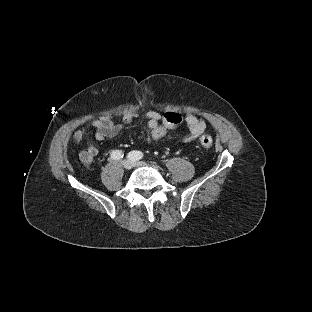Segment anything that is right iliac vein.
Wrapping results in <instances>:
<instances>
[{"label":"right iliac vein","instance_id":"obj_1","mask_svg":"<svg viewBox=\"0 0 312 312\" xmlns=\"http://www.w3.org/2000/svg\"><path fill=\"white\" fill-rule=\"evenodd\" d=\"M122 165L125 169L130 170L133 167V162L131 160H125Z\"/></svg>","mask_w":312,"mask_h":312}]
</instances>
